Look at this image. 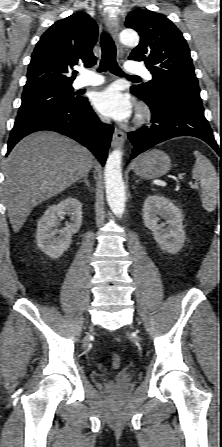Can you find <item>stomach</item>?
<instances>
[{"label": "stomach", "instance_id": "obj_1", "mask_svg": "<svg viewBox=\"0 0 222 447\" xmlns=\"http://www.w3.org/2000/svg\"><path fill=\"white\" fill-rule=\"evenodd\" d=\"M170 167V157L163 151L154 149L138 159L134 166V172L142 178H158L165 175Z\"/></svg>", "mask_w": 222, "mask_h": 447}]
</instances>
